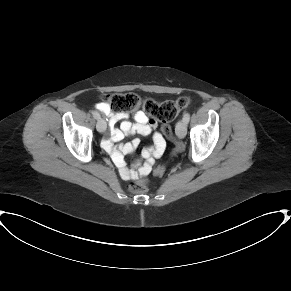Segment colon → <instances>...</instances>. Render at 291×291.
<instances>
[{"mask_svg":"<svg viewBox=\"0 0 291 291\" xmlns=\"http://www.w3.org/2000/svg\"><path fill=\"white\" fill-rule=\"evenodd\" d=\"M106 101L112 109L126 111L141 107L147 114L157 118L163 123L162 132L169 140H175L174 132L168 124L181 110L190 105L188 97H180L177 100H166L157 103L152 99L141 101L134 93H116L106 96ZM166 172V167L158 165L154 169L156 175H163ZM127 189L132 193H144L148 190V180L141 178L131 181L127 185Z\"/></svg>","mask_w":291,"mask_h":291,"instance_id":"obj_1","label":"colon"}]
</instances>
